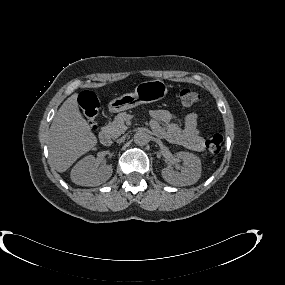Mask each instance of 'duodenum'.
<instances>
[{
  "label": "duodenum",
  "instance_id": "410a0bca",
  "mask_svg": "<svg viewBox=\"0 0 285 285\" xmlns=\"http://www.w3.org/2000/svg\"><path fill=\"white\" fill-rule=\"evenodd\" d=\"M99 141L104 145H109L111 143L110 134L106 130H101L99 133Z\"/></svg>",
  "mask_w": 285,
  "mask_h": 285
}]
</instances>
